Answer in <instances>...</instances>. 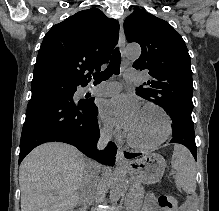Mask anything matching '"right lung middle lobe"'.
<instances>
[{
  "instance_id": "obj_1",
  "label": "right lung middle lobe",
  "mask_w": 219,
  "mask_h": 211,
  "mask_svg": "<svg viewBox=\"0 0 219 211\" xmlns=\"http://www.w3.org/2000/svg\"><path fill=\"white\" fill-rule=\"evenodd\" d=\"M52 86L60 87V88H62L64 91H66V92L69 93V94L72 93L70 90L65 89V87H67V86H64V85H52Z\"/></svg>"
}]
</instances>
